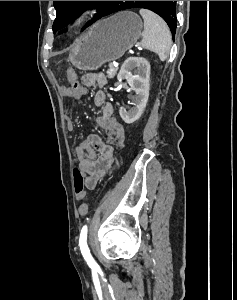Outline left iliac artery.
Returning <instances> with one entry per match:
<instances>
[{
  "label": "left iliac artery",
  "instance_id": "1",
  "mask_svg": "<svg viewBox=\"0 0 237 300\" xmlns=\"http://www.w3.org/2000/svg\"><path fill=\"white\" fill-rule=\"evenodd\" d=\"M79 246H80L81 253H82L84 259L86 260L87 264L89 265V267H91V268L96 267L97 263L91 256L90 250L87 245V226L86 225L83 226V228L81 230L80 238H79Z\"/></svg>",
  "mask_w": 237,
  "mask_h": 300
}]
</instances>
